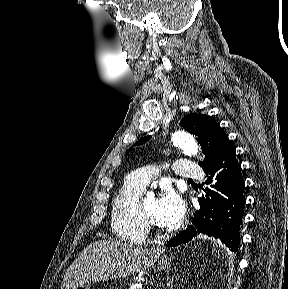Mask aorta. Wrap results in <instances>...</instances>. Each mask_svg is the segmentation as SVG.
<instances>
[{
    "label": "aorta",
    "instance_id": "obj_1",
    "mask_svg": "<svg viewBox=\"0 0 288 289\" xmlns=\"http://www.w3.org/2000/svg\"><path fill=\"white\" fill-rule=\"evenodd\" d=\"M175 146L180 148L187 155L198 154V144L195 139L184 131H177L172 135Z\"/></svg>",
    "mask_w": 288,
    "mask_h": 289
}]
</instances>
